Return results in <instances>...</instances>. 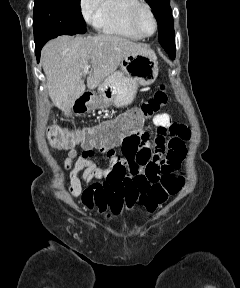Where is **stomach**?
I'll list each match as a JSON object with an SVG mask.
<instances>
[{
    "label": "stomach",
    "instance_id": "obj_1",
    "mask_svg": "<svg viewBox=\"0 0 240 288\" xmlns=\"http://www.w3.org/2000/svg\"><path fill=\"white\" fill-rule=\"evenodd\" d=\"M120 71L107 76L98 87V94L89 102L91 109L130 104L139 86L152 84L158 75L156 56L146 53H130L120 63Z\"/></svg>",
    "mask_w": 240,
    "mask_h": 288
}]
</instances>
